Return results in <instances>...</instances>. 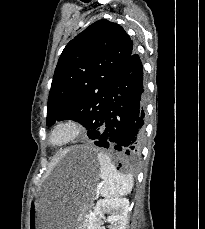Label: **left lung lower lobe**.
<instances>
[{
	"mask_svg": "<svg viewBox=\"0 0 205 229\" xmlns=\"http://www.w3.org/2000/svg\"><path fill=\"white\" fill-rule=\"evenodd\" d=\"M143 66L132 53L108 92L103 120L90 134L95 145L121 151L129 159L140 155L144 135Z\"/></svg>",
	"mask_w": 205,
	"mask_h": 229,
	"instance_id": "0a47b994",
	"label": "left lung lower lobe"
}]
</instances>
